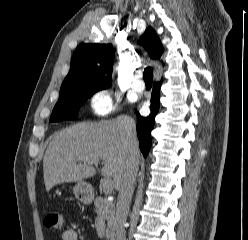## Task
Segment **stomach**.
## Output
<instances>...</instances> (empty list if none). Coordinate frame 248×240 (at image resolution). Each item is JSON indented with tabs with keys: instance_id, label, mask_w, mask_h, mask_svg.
<instances>
[{
	"instance_id": "obj_1",
	"label": "stomach",
	"mask_w": 248,
	"mask_h": 240,
	"mask_svg": "<svg viewBox=\"0 0 248 240\" xmlns=\"http://www.w3.org/2000/svg\"><path fill=\"white\" fill-rule=\"evenodd\" d=\"M74 194L83 203H90L93 199L92 187L84 181H79L73 187Z\"/></svg>"
}]
</instances>
